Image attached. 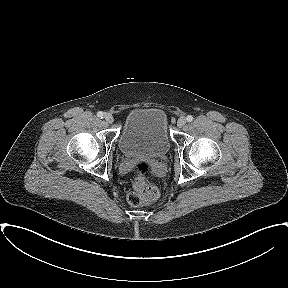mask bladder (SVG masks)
Here are the masks:
<instances>
[{
    "label": "bladder",
    "instance_id": "obj_1",
    "mask_svg": "<svg viewBox=\"0 0 288 288\" xmlns=\"http://www.w3.org/2000/svg\"><path fill=\"white\" fill-rule=\"evenodd\" d=\"M118 144L126 156H165L170 149V140L164 111L158 108L131 110L125 119Z\"/></svg>",
    "mask_w": 288,
    "mask_h": 288
}]
</instances>
